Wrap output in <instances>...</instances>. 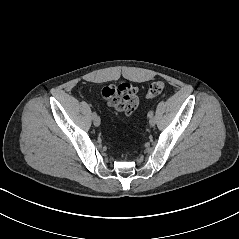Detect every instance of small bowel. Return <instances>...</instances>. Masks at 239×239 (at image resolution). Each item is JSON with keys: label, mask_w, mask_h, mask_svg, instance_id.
Masks as SVG:
<instances>
[{"label": "small bowel", "mask_w": 239, "mask_h": 239, "mask_svg": "<svg viewBox=\"0 0 239 239\" xmlns=\"http://www.w3.org/2000/svg\"><path fill=\"white\" fill-rule=\"evenodd\" d=\"M101 96L112 109L130 116L139 105L138 89L130 83H122L116 87L106 86Z\"/></svg>", "instance_id": "obj_1"}]
</instances>
